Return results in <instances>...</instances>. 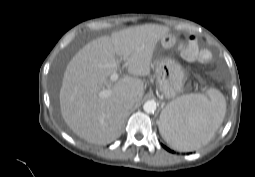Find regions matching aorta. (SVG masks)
<instances>
[{"label": "aorta", "mask_w": 255, "mask_h": 177, "mask_svg": "<svg viewBox=\"0 0 255 177\" xmlns=\"http://www.w3.org/2000/svg\"><path fill=\"white\" fill-rule=\"evenodd\" d=\"M156 102L153 100L146 101L143 105V109L146 113H154L156 111Z\"/></svg>", "instance_id": "762f6f07"}]
</instances>
